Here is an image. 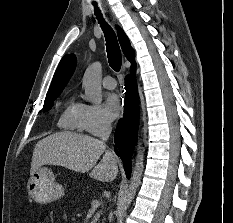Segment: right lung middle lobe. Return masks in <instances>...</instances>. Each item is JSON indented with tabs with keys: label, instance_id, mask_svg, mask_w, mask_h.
Listing matches in <instances>:
<instances>
[{
	"label": "right lung middle lobe",
	"instance_id": "dd1d6c3e",
	"mask_svg": "<svg viewBox=\"0 0 233 223\" xmlns=\"http://www.w3.org/2000/svg\"><path fill=\"white\" fill-rule=\"evenodd\" d=\"M53 106V103L43 106L44 110L47 111Z\"/></svg>",
	"mask_w": 233,
	"mask_h": 223
}]
</instances>
